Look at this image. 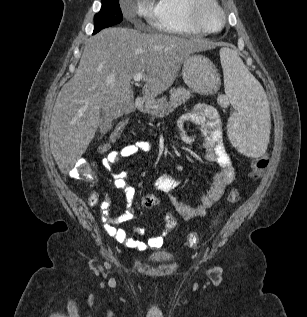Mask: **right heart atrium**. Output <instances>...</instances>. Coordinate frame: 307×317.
I'll list each match as a JSON object with an SVG mask.
<instances>
[{
  "label": "right heart atrium",
  "instance_id": "1",
  "mask_svg": "<svg viewBox=\"0 0 307 317\" xmlns=\"http://www.w3.org/2000/svg\"><path fill=\"white\" fill-rule=\"evenodd\" d=\"M132 12L139 16L150 18L152 15V7L149 0H138Z\"/></svg>",
  "mask_w": 307,
  "mask_h": 317
}]
</instances>
